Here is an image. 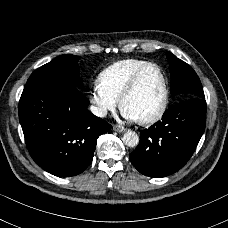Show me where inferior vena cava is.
Here are the masks:
<instances>
[{
	"label": "inferior vena cava",
	"instance_id": "1",
	"mask_svg": "<svg viewBox=\"0 0 228 228\" xmlns=\"http://www.w3.org/2000/svg\"><path fill=\"white\" fill-rule=\"evenodd\" d=\"M91 111L94 115H96L98 117H105L107 114V111L97 108L95 106H91Z\"/></svg>",
	"mask_w": 228,
	"mask_h": 228
}]
</instances>
